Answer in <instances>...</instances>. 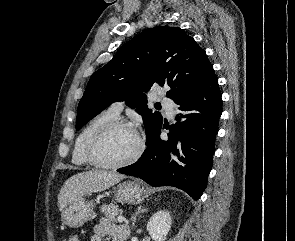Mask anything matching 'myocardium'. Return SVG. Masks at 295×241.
Returning <instances> with one entry per match:
<instances>
[{"label": "myocardium", "instance_id": "1", "mask_svg": "<svg viewBox=\"0 0 295 241\" xmlns=\"http://www.w3.org/2000/svg\"><path fill=\"white\" fill-rule=\"evenodd\" d=\"M117 128H127L131 130L137 138L138 148L136 152L129 159L122 162H118V163H111V162L104 161L99 156V146L101 142L104 140V138L110 132H112L113 130ZM144 151H145V140L137 131V129L131 123L125 120L116 119L104 124L95 132V134L91 137V139L88 142L86 152H87V157L89 161L94 166L98 168H103V169H120V168L127 167L136 163L142 157Z\"/></svg>", "mask_w": 295, "mask_h": 241}]
</instances>
